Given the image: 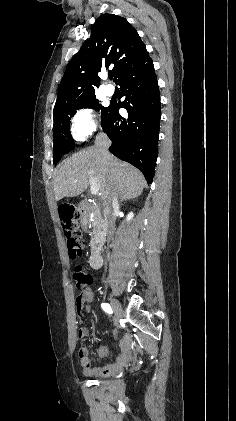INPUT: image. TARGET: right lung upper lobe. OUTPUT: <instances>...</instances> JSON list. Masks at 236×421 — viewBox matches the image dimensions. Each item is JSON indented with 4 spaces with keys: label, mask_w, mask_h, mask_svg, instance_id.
I'll use <instances>...</instances> for the list:
<instances>
[{
    "label": "right lung upper lobe",
    "mask_w": 236,
    "mask_h": 421,
    "mask_svg": "<svg viewBox=\"0 0 236 421\" xmlns=\"http://www.w3.org/2000/svg\"><path fill=\"white\" fill-rule=\"evenodd\" d=\"M148 55L135 28L123 17L101 15L91 28L90 38L71 59L59 86L54 109L95 95L100 84L97 73L113 67L115 80L129 66Z\"/></svg>",
    "instance_id": "cb5924a9"
}]
</instances>
